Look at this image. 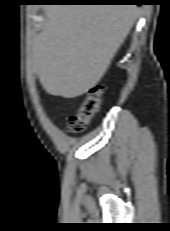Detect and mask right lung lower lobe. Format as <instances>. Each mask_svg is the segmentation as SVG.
<instances>
[{"label":"right lung lower lobe","mask_w":170,"mask_h":231,"mask_svg":"<svg viewBox=\"0 0 170 231\" xmlns=\"http://www.w3.org/2000/svg\"><path fill=\"white\" fill-rule=\"evenodd\" d=\"M141 0H41L48 3H133Z\"/></svg>","instance_id":"obj_1"}]
</instances>
